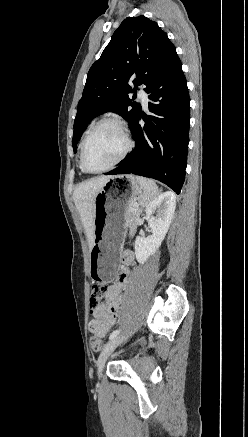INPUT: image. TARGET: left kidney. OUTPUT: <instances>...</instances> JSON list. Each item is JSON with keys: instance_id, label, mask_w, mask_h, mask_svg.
<instances>
[{"instance_id": "left-kidney-1", "label": "left kidney", "mask_w": 248, "mask_h": 437, "mask_svg": "<svg viewBox=\"0 0 248 437\" xmlns=\"http://www.w3.org/2000/svg\"><path fill=\"white\" fill-rule=\"evenodd\" d=\"M175 206L176 196L170 191L160 194L146 206V220L152 235L136 237L134 249L139 263L144 264L161 246L174 215Z\"/></svg>"}]
</instances>
